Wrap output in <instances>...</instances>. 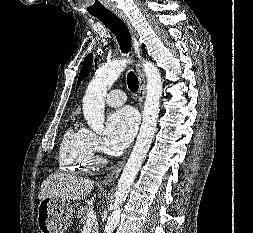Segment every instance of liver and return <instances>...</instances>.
<instances>
[{
  "mask_svg": "<svg viewBox=\"0 0 253 233\" xmlns=\"http://www.w3.org/2000/svg\"><path fill=\"white\" fill-rule=\"evenodd\" d=\"M94 189V181L71 174L53 173L42 183L40 200L51 197L61 200H82Z\"/></svg>",
  "mask_w": 253,
  "mask_h": 233,
  "instance_id": "liver-1",
  "label": "liver"
}]
</instances>
